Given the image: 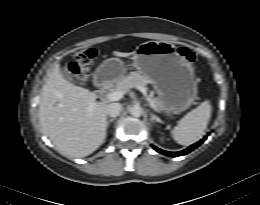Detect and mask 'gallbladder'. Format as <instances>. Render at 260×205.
<instances>
[{"mask_svg": "<svg viewBox=\"0 0 260 205\" xmlns=\"http://www.w3.org/2000/svg\"><path fill=\"white\" fill-rule=\"evenodd\" d=\"M62 74L69 81L75 82L73 79V75L71 74V72L68 70V68L66 66L62 69Z\"/></svg>", "mask_w": 260, "mask_h": 205, "instance_id": "obj_1", "label": "gallbladder"}]
</instances>
